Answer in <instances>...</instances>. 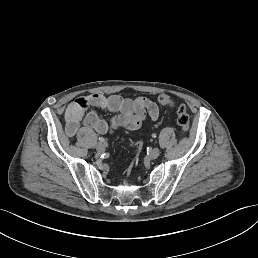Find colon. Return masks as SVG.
<instances>
[{
    "instance_id": "1",
    "label": "colon",
    "mask_w": 258,
    "mask_h": 258,
    "mask_svg": "<svg viewBox=\"0 0 258 258\" xmlns=\"http://www.w3.org/2000/svg\"><path fill=\"white\" fill-rule=\"evenodd\" d=\"M161 105L166 107H173L174 100L167 94H161L158 98ZM177 124L183 132H187L190 128V116L184 104H180L176 109Z\"/></svg>"
}]
</instances>
